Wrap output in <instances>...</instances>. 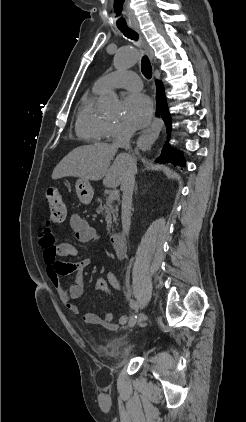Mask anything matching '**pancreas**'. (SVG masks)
I'll return each mask as SVG.
<instances>
[{
  "label": "pancreas",
  "instance_id": "obj_1",
  "mask_svg": "<svg viewBox=\"0 0 246 422\" xmlns=\"http://www.w3.org/2000/svg\"><path fill=\"white\" fill-rule=\"evenodd\" d=\"M97 210L98 212H101L105 215L107 231L110 233L113 228V223H116L118 218V206L114 203L113 200L107 198L106 202L103 205L101 204Z\"/></svg>",
  "mask_w": 246,
  "mask_h": 422
}]
</instances>
